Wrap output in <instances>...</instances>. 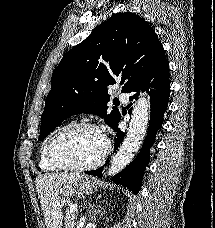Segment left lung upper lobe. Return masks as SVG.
<instances>
[{"mask_svg":"<svg viewBox=\"0 0 215 228\" xmlns=\"http://www.w3.org/2000/svg\"><path fill=\"white\" fill-rule=\"evenodd\" d=\"M163 48L153 28L134 13L112 15L80 44L70 49L54 69L39 141L73 114H95L113 129L121 114L108 111L107 86L130 90L144 77Z\"/></svg>","mask_w":215,"mask_h":228,"instance_id":"left-lung-upper-lobe-1","label":"left lung upper lobe"}]
</instances>
